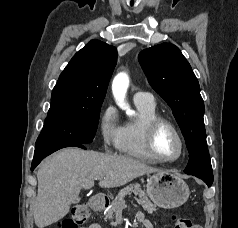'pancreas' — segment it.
Returning a JSON list of instances; mask_svg holds the SVG:
<instances>
[{
  "instance_id": "obj_1",
  "label": "pancreas",
  "mask_w": 238,
  "mask_h": 228,
  "mask_svg": "<svg viewBox=\"0 0 238 228\" xmlns=\"http://www.w3.org/2000/svg\"><path fill=\"white\" fill-rule=\"evenodd\" d=\"M130 192H133L136 196H138V203L141 204L143 209L147 210L148 213L152 214L157 210L156 206L148 199L145 191L141 189L139 184H130L120 190L111 205L106 209L105 220H112L114 218L116 210L118 207L125 204L124 198L126 195L130 194Z\"/></svg>"
}]
</instances>
